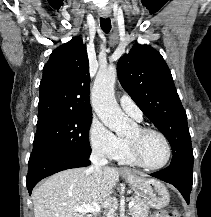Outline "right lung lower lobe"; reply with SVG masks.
<instances>
[{"instance_id": "1", "label": "right lung lower lobe", "mask_w": 211, "mask_h": 217, "mask_svg": "<svg viewBox=\"0 0 211 217\" xmlns=\"http://www.w3.org/2000/svg\"><path fill=\"white\" fill-rule=\"evenodd\" d=\"M88 158L89 156L54 149L32 151L26 178L29 194H31L33 187L45 177L62 170L90 165Z\"/></svg>"}]
</instances>
